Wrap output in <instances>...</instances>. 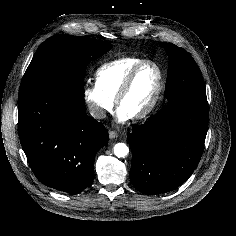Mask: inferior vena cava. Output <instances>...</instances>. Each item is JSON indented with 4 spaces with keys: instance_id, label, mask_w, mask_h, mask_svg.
I'll use <instances>...</instances> for the list:
<instances>
[{
    "instance_id": "obj_1",
    "label": "inferior vena cava",
    "mask_w": 236,
    "mask_h": 236,
    "mask_svg": "<svg viewBox=\"0 0 236 236\" xmlns=\"http://www.w3.org/2000/svg\"><path fill=\"white\" fill-rule=\"evenodd\" d=\"M88 110L90 115L95 119H103L106 117L105 112L95 103L88 104Z\"/></svg>"
}]
</instances>
